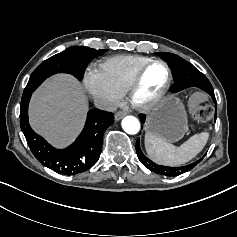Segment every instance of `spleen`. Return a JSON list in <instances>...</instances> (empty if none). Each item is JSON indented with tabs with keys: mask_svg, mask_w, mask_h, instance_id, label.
<instances>
[{
	"mask_svg": "<svg viewBox=\"0 0 237 237\" xmlns=\"http://www.w3.org/2000/svg\"><path fill=\"white\" fill-rule=\"evenodd\" d=\"M208 138L207 132L195 134L177 147L156 134L147 132L145 134V149L149 158L155 163L176 167L189 162L200 153Z\"/></svg>",
	"mask_w": 237,
	"mask_h": 237,
	"instance_id": "obj_1",
	"label": "spleen"
}]
</instances>
